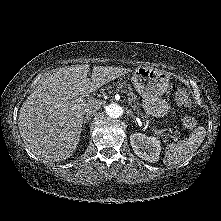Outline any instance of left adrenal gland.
<instances>
[{
  "label": "left adrenal gland",
  "mask_w": 221,
  "mask_h": 221,
  "mask_svg": "<svg viewBox=\"0 0 221 221\" xmlns=\"http://www.w3.org/2000/svg\"><path fill=\"white\" fill-rule=\"evenodd\" d=\"M127 113H128L129 116H131L133 118V114H132L131 111H128Z\"/></svg>",
  "instance_id": "left-adrenal-gland-1"
}]
</instances>
